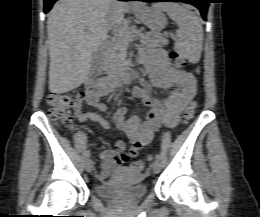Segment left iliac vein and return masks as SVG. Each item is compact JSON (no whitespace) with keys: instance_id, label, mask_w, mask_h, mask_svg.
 I'll return each mask as SVG.
<instances>
[{"instance_id":"4c4485c4","label":"left iliac vein","mask_w":260,"mask_h":217,"mask_svg":"<svg viewBox=\"0 0 260 217\" xmlns=\"http://www.w3.org/2000/svg\"><path fill=\"white\" fill-rule=\"evenodd\" d=\"M151 168H152V170H153V172H154L155 174L159 173V172H160V162L157 161V160H155V161L152 163Z\"/></svg>"}]
</instances>
